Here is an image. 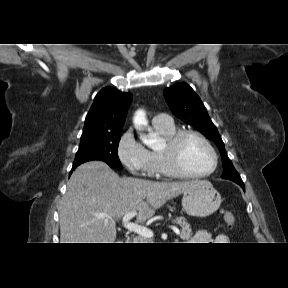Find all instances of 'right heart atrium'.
Here are the masks:
<instances>
[{"mask_svg": "<svg viewBox=\"0 0 288 288\" xmlns=\"http://www.w3.org/2000/svg\"><path fill=\"white\" fill-rule=\"evenodd\" d=\"M117 155L122 165L133 175L152 177L155 175L150 164V152L127 130L120 137Z\"/></svg>", "mask_w": 288, "mask_h": 288, "instance_id": "1", "label": "right heart atrium"}]
</instances>
